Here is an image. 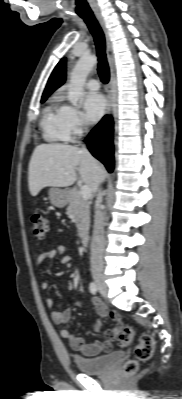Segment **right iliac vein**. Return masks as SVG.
Wrapping results in <instances>:
<instances>
[{
	"mask_svg": "<svg viewBox=\"0 0 182 399\" xmlns=\"http://www.w3.org/2000/svg\"><path fill=\"white\" fill-rule=\"evenodd\" d=\"M94 281L96 285L98 286L101 294L107 295L108 289L107 286L103 280V276L101 274H95L94 275Z\"/></svg>",
	"mask_w": 182,
	"mask_h": 399,
	"instance_id": "1",
	"label": "right iliac vein"
}]
</instances>
